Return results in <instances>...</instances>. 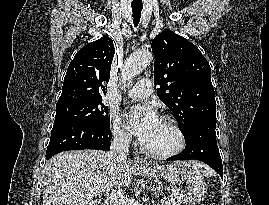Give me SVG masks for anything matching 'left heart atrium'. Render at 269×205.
Instances as JSON below:
<instances>
[{
  "label": "left heart atrium",
  "instance_id": "obj_1",
  "mask_svg": "<svg viewBox=\"0 0 269 205\" xmlns=\"http://www.w3.org/2000/svg\"><path fill=\"white\" fill-rule=\"evenodd\" d=\"M127 116L130 131L144 144L148 142L160 121L155 109L151 105L134 106Z\"/></svg>",
  "mask_w": 269,
  "mask_h": 205
}]
</instances>
